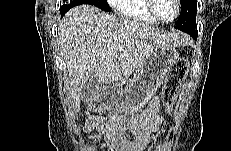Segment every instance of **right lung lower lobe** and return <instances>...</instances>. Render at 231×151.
Returning a JSON list of instances; mask_svg holds the SVG:
<instances>
[{
    "instance_id": "obj_1",
    "label": "right lung lower lobe",
    "mask_w": 231,
    "mask_h": 151,
    "mask_svg": "<svg viewBox=\"0 0 231 151\" xmlns=\"http://www.w3.org/2000/svg\"><path fill=\"white\" fill-rule=\"evenodd\" d=\"M74 4H76V2H70L68 5L62 6V7L60 8V15H61V17H63V16L65 15V13H66L70 8H72L71 6L74 5Z\"/></svg>"
}]
</instances>
